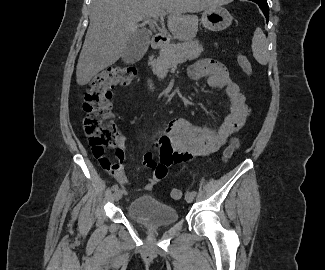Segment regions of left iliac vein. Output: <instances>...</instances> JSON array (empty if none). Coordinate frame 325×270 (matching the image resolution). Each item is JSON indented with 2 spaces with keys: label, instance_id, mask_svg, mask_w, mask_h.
Segmentation results:
<instances>
[{
  "label": "left iliac vein",
  "instance_id": "1",
  "mask_svg": "<svg viewBox=\"0 0 325 270\" xmlns=\"http://www.w3.org/2000/svg\"><path fill=\"white\" fill-rule=\"evenodd\" d=\"M185 199L188 203H191L194 199V196L191 194V192H187L185 195Z\"/></svg>",
  "mask_w": 325,
  "mask_h": 270
}]
</instances>
